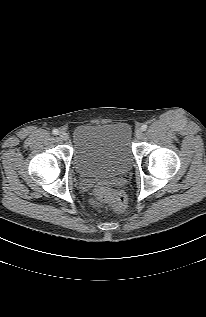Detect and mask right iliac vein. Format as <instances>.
Here are the masks:
<instances>
[{
  "label": "right iliac vein",
  "mask_w": 206,
  "mask_h": 317,
  "mask_svg": "<svg viewBox=\"0 0 206 317\" xmlns=\"http://www.w3.org/2000/svg\"><path fill=\"white\" fill-rule=\"evenodd\" d=\"M59 137L61 140H64V141L68 140V134L65 131H61L59 133Z\"/></svg>",
  "instance_id": "right-iliac-vein-1"
}]
</instances>
